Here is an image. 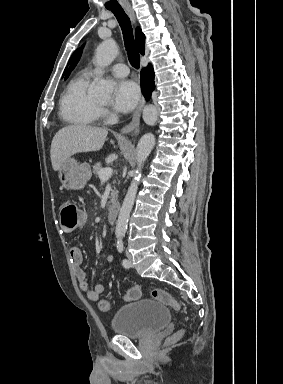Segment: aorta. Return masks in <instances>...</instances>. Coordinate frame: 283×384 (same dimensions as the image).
<instances>
[{"label":"aorta","mask_w":283,"mask_h":384,"mask_svg":"<svg viewBox=\"0 0 283 384\" xmlns=\"http://www.w3.org/2000/svg\"><path fill=\"white\" fill-rule=\"evenodd\" d=\"M118 46L114 40H105L96 49L95 63L97 66H108L117 56ZM114 89V83L105 79L99 80L97 83L94 94L96 97L107 98L110 97ZM143 120L148 125H154L158 119V111L153 105H147L143 109ZM155 145V136L152 133H147L141 137L137 145V168L134 171L133 179L128 188L123 204L121 206L117 224L116 236L123 237L126 233L127 223L132 210L138 185L141 177V170L143 164Z\"/></svg>","instance_id":"obj_1"}]
</instances>
